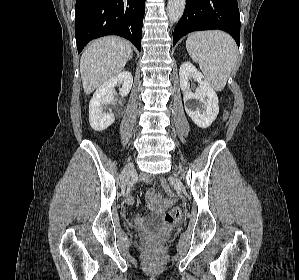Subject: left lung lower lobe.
I'll use <instances>...</instances> for the list:
<instances>
[{"label": "left lung lower lobe", "instance_id": "obj_1", "mask_svg": "<svg viewBox=\"0 0 299 280\" xmlns=\"http://www.w3.org/2000/svg\"><path fill=\"white\" fill-rule=\"evenodd\" d=\"M209 29L228 32L239 45L240 15L237 0H187L183 16L174 30L173 45L190 32Z\"/></svg>", "mask_w": 299, "mask_h": 280}]
</instances>
